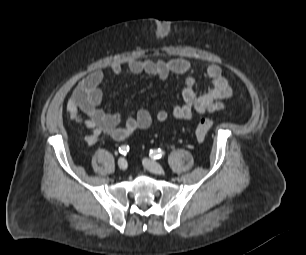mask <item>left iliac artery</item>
Wrapping results in <instances>:
<instances>
[{
	"instance_id": "44dca946",
	"label": "left iliac artery",
	"mask_w": 306,
	"mask_h": 255,
	"mask_svg": "<svg viewBox=\"0 0 306 255\" xmlns=\"http://www.w3.org/2000/svg\"><path fill=\"white\" fill-rule=\"evenodd\" d=\"M164 154H165V152L162 151L161 149H157V150L151 149V150L149 151V156H150L152 159H159V158H161L162 155H164Z\"/></svg>"
}]
</instances>
